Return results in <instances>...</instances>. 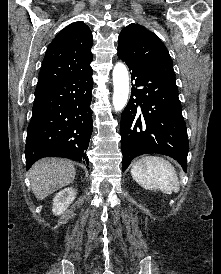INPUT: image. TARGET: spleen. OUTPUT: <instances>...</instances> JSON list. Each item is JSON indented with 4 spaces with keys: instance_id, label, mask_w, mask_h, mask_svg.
Listing matches in <instances>:
<instances>
[{
    "instance_id": "1",
    "label": "spleen",
    "mask_w": 221,
    "mask_h": 274,
    "mask_svg": "<svg viewBox=\"0 0 221 274\" xmlns=\"http://www.w3.org/2000/svg\"><path fill=\"white\" fill-rule=\"evenodd\" d=\"M132 178L144 189L159 190L165 194L178 192L179 181L174 167L156 156H146L134 163Z\"/></svg>"
}]
</instances>
